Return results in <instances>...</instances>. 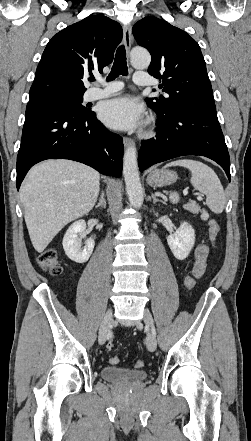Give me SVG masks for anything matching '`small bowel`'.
<instances>
[{
  "instance_id": "obj_1",
  "label": "small bowel",
  "mask_w": 251,
  "mask_h": 441,
  "mask_svg": "<svg viewBox=\"0 0 251 441\" xmlns=\"http://www.w3.org/2000/svg\"><path fill=\"white\" fill-rule=\"evenodd\" d=\"M209 252V247L206 244H200L195 250V264L193 268V274L196 277H200L206 266V258Z\"/></svg>"
}]
</instances>
